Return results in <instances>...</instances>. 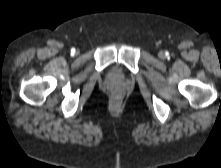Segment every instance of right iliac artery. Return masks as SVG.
<instances>
[{
	"label": "right iliac artery",
	"mask_w": 221,
	"mask_h": 168,
	"mask_svg": "<svg viewBox=\"0 0 221 168\" xmlns=\"http://www.w3.org/2000/svg\"><path fill=\"white\" fill-rule=\"evenodd\" d=\"M71 52L74 53V52H75V49H72Z\"/></svg>",
	"instance_id": "1"
}]
</instances>
